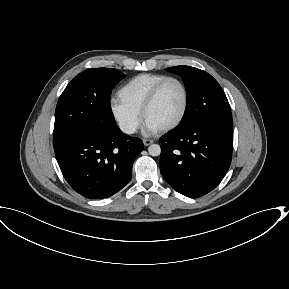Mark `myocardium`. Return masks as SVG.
Masks as SVG:
<instances>
[{
	"label": "myocardium",
	"instance_id": "1",
	"mask_svg": "<svg viewBox=\"0 0 289 289\" xmlns=\"http://www.w3.org/2000/svg\"><path fill=\"white\" fill-rule=\"evenodd\" d=\"M168 82H176L181 87V89L183 91L184 100H183L182 111H181L180 115L178 116V118L174 122H172L171 124L161 128L160 131H162V132H168V131L174 130L182 124V122L184 121V119L187 115L188 108H189V102H190L189 91H188L186 84L181 79H179L177 77L167 76L166 78L159 81L151 89L148 96L146 97V99L143 103L142 109H141V116H142L143 120L146 121L147 112L149 111L151 106L154 104V102L157 99L163 86L165 84H167Z\"/></svg>",
	"mask_w": 289,
	"mask_h": 289
}]
</instances>
